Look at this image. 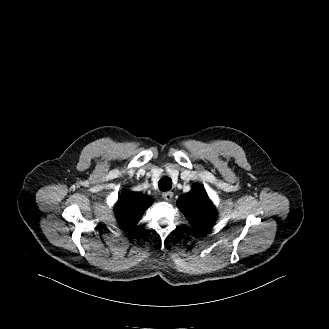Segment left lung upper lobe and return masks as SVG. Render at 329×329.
<instances>
[{
    "instance_id": "5c2ea615",
    "label": "left lung upper lobe",
    "mask_w": 329,
    "mask_h": 329,
    "mask_svg": "<svg viewBox=\"0 0 329 329\" xmlns=\"http://www.w3.org/2000/svg\"><path fill=\"white\" fill-rule=\"evenodd\" d=\"M177 206L199 232L209 230L217 217L214 205L200 185L193 186L190 192L180 196Z\"/></svg>"
}]
</instances>
